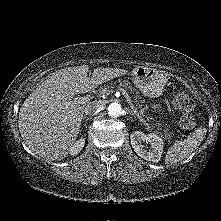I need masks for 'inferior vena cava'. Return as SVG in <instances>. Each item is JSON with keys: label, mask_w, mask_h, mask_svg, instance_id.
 I'll use <instances>...</instances> for the list:
<instances>
[{"label": "inferior vena cava", "mask_w": 221, "mask_h": 221, "mask_svg": "<svg viewBox=\"0 0 221 221\" xmlns=\"http://www.w3.org/2000/svg\"><path fill=\"white\" fill-rule=\"evenodd\" d=\"M100 107H101V102L93 101L85 107L84 112L86 115H91L92 113L97 111Z\"/></svg>", "instance_id": "1"}]
</instances>
